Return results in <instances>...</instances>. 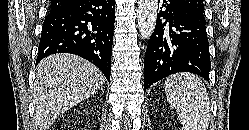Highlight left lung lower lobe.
Returning a JSON list of instances; mask_svg holds the SVG:
<instances>
[{
    "instance_id": "0a47b994",
    "label": "left lung lower lobe",
    "mask_w": 249,
    "mask_h": 130,
    "mask_svg": "<svg viewBox=\"0 0 249 130\" xmlns=\"http://www.w3.org/2000/svg\"><path fill=\"white\" fill-rule=\"evenodd\" d=\"M160 9L144 59V93L153 83L177 72H191L209 80L211 62L204 14L182 0H163Z\"/></svg>"
}]
</instances>
